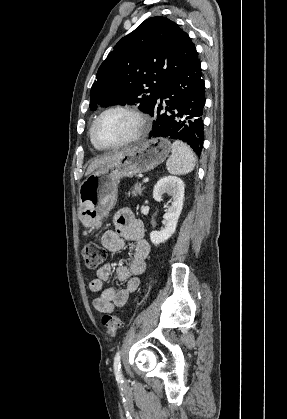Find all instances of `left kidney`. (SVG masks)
Instances as JSON below:
<instances>
[{"instance_id": "5707ae66", "label": "left kidney", "mask_w": 287, "mask_h": 419, "mask_svg": "<svg viewBox=\"0 0 287 419\" xmlns=\"http://www.w3.org/2000/svg\"><path fill=\"white\" fill-rule=\"evenodd\" d=\"M184 190L183 181L176 176H165L156 183L153 190L155 201L161 202L164 193L170 195L172 199L170 207L163 215L165 227L161 231L150 233V240L154 245L167 241L174 234L183 208Z\"/></svg>"}]
</instances>
